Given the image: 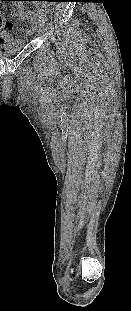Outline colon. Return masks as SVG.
Segmentation results:
<instances>
[{"mask_svg":"<svg viewBox=\"0 0 131 311\" xmlns=\"http://www.w3.org/2000/svg\"><path fill=\"white\" fill-rule=\"evenodd\" d=\"M1 24H2V18L0 17V25ZM20 28L22 31H29L30 29L33 28V24L24 22V23H21Z\"/></svg>","mask_w":131,"mask_h":311,"instance_id":"colon-1","label":"colon"}]
</instances>
